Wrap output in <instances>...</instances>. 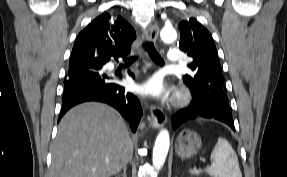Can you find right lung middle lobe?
Masks as SVG:
<instances>
[{
	"instance_id": "obj_1",
	"label": "right lung middle lobe",
	"mask_w": 287,
	"mask_h": 177,
	"mask_svg": "<svg viewBox=\"0 0 287 177\" xmlns=\"http://www.w3.org/2000/svg\"><path fill=\"white\" fill-rule=\"evenodd\" d=\"M93 58H95V57H93ZM93 58H89V59H86V60H79V61H76V62H69V67H73V66L78 65V64H80V63L90 61V60H92Z\"/></svg>"
}]
</instances>
